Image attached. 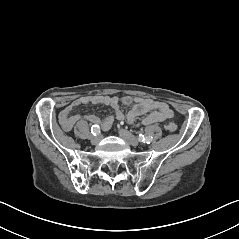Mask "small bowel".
Returning a JSON list of instances; mask_svg holds the SVG:
<instances>
[{"label": "small bowel", "mask_w": 239, "mask_h": 239, "mask_svg": "<svg viewBox=\"0 0 239 239\" xmlns=\"http://www.w3.org/2000/svg\"><path fill=\"white\" fill-rule=\"evenodd\" d=\"M120 101L127 106H131L126 118L128 122L133 123L138 117L144 116L141 125H150L153 123L163 122L172 119L175 112L164 101L152 100L149 98H139L132 96H124L121 100L117 96L92 95L84 96L74 100L67 105L60 113L59 120L65 131H70L73 125L85 120L94 125L100 126L102 129H109L115 119L123 120L125 114L120 108ZM108 105L112 109V113L105 117H98L91 114H73V110L81 105Z\"/></svg>", "instance_id": "1"}]
</instances>
